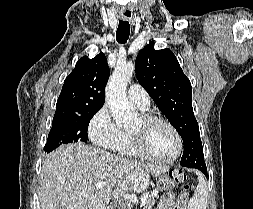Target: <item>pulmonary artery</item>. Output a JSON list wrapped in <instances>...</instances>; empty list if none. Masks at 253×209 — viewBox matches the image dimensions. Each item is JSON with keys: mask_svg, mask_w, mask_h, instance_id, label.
I'll return each instance as SVG.
<instances>
[{"mask_svg": "<svg viewBox=\"0 0 253 209\" xmlns=\"http://www.w3.org/2000/svg\"><path fill=\"white\" fill-rule=\"evenodd\" d=\"M129 100L140 108H148L150 97L146 90L138 84H132L128 89Z\"/></svg>", "mask_w": 253, "mask_h": 209, "instance_id": "pulmonary-artery-1", "label": "pulmonary artery"}]
</instances>
